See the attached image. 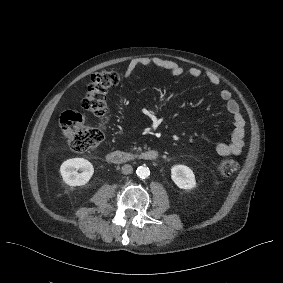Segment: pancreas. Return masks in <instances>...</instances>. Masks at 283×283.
Segmentation results:
<instances>
[{
    "label": "pancreas",
    "mask_w": 283,
    "mask_h": 283,
    "mask_svg": "<svg viewBox=\"0 0 283 283\" xmlns=\"http://www.w3.org/2000/svg\"><path fill=\"white\" fill-rule=\"evenodd\" d=\"M132 144H136V141H132ZM147 148V145H144V149ZM136 150L137 152H141L142 151V148L141 147H137V146H133L131 145L130 148H129V151H134Z\"/></svg>",
    "instance_id": "1"
}]
</instances>
